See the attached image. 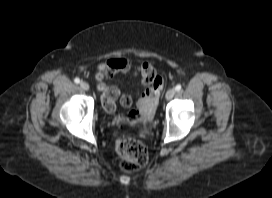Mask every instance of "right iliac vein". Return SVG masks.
<instances>
[{
	"mask_svg": "<svg viewBox=\"0 0 272 198\" xmlns=\"http://www.w3.org/2000/svg\"><path fill=\"white\" fill-rule=\"evenodd\" d=\"M80 87L85 91H88L89 88H90L89 84L87 82H85V81L80 82Z\"/></svg>",
	"mask_w": 272,
	"mask_h": 198,
	"instance_id": "63e3f726",
	"label": "right iliac vein"
}]
</instances>
